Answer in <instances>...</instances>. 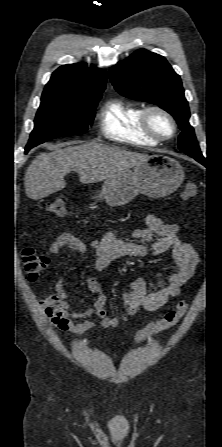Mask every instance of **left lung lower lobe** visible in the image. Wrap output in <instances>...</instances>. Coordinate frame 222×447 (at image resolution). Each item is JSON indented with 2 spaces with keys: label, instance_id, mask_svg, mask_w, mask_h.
I'll return each instance as SVG.
<instances>
[{
  "label": "left lung lower lobe",
  "instance_id": "0a47b994",
  "mask_svg": "<svg viewBox=\"0 0 222 447\" xmlns=\"http://www.w3.org/2000/svg\"><path fill=\"white\" fill-rule=\"evenodd\" d=\"M192 157V156H191ZM195 160H197L199 163H201V164H205V158H203V157H198V156H195V157H193Z\"/></svg>",
  "mask_w": 222,
  "mask_h": 447
}]
</instances>
